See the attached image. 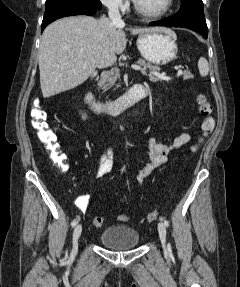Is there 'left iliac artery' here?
Instances as JSON below:
<instances>
[{
	"label": "left iliac artery",
	"instance_id": "obj_1",
	"mask_svg": "<svg viewBox=\"0 0 240 287\" xmlns=\"http://www.w3.org/2000/svg\"><path fill=\"white\" fill-rule=\"evenodd\" d=\"M164 225H165L166 227H168V226H169V221H168V220H164Z\"/></svg>",
	"mask_w": 240,
	"mask_h": 287
}]
</instances>
